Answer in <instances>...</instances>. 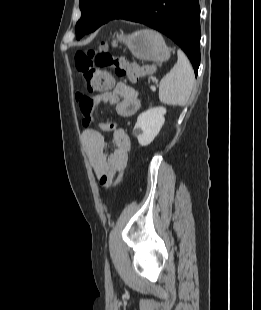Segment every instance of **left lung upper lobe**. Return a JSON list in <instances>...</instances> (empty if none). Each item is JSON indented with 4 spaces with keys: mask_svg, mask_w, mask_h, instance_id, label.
<instances>
[{
    "mask_svg": "<svg viewBox=\"0 0 261 310\" xmlns=\"http://www.w3.org/2000/svg\"><path fill=\"white\" fill-rule=\"evenodd\" d=\"M132 0H80L81 19L76 24V37H82L94 23L105 24L124 14Z\"/></svg>",
    "mask_w": 261,
    "mask_h": 310,
    "instance_id": "obj_1",
    "label": "left lung upper lobe"
}]
</instances>
